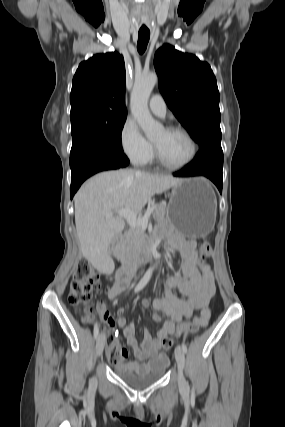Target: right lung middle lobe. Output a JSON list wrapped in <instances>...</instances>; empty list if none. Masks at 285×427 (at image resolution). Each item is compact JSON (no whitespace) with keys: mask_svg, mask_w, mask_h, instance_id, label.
Returning a JSON list of instances; mask_svg holds the SVG:
<instances>
[{"mask_svg":"<svg viewBox=\"0 0 285 427\" xmlns=\"http://www.w3.org/2000/svg\"><path fill=\"white\" fill-rule=\"evenodd\" d=\"M127 114L82 113L71 116L73 144L70 153V167L79 157L92 149H102L116 154H124L121 132Z\"/></svg>","mask_w":285,"mask_h":427,"instance_id":"obj_1","label":"right lung middle lobe"}]
</instances>
